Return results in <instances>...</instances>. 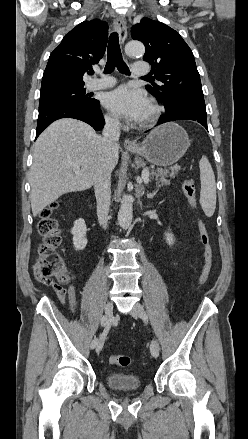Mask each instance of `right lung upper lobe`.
Returning a JSON list of instances; mask_svg holds the SVG:
<instances>
[{
  "label": "right lung upper lobe",
  "mask_w": 248,
  "mask_h": 439,
  "mask_svg": "<svg viewBox=\"0 0 248 439\" xmlns=\"http://www.w3.org/2000/svg\"><path fill=\"white\" fill-rule=\"evenodd\" d=\"M107 23L94 19L78 24L51 53L41 83V96L84 86L83 75L103 57Z\"/></svg>",
  "instance_id": "right-lung-upper-lobe-1"
}]
</instances>
